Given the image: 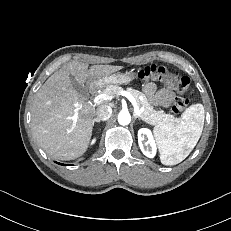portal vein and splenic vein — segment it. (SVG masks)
<instances>
[{"mask_svg": "<svg viewBox=\"0 0 231 231\" xmlns=\"http://www.w3.org/2000/svg\"><path fill=\"white\" fill-rule=\"evenodd\" d=\"M120 95L125 96L126 98L129 99V101L132 103V105L134 107L135 114L140 116L143 109H140L138 107L136 99L130 93H128L127 91H121ZM112 98H113V94H99V95L94 97L93 102L95 104H99V103H101L103 101L110 100ZM78 115H79L78 110H75L73 116L71 117L72 120H73L72 129L75 127V124H76L77 119H78Z\"/></svg>", "mask_w": 231, "mask_h": 231, "instance_id": "18ae733b", "label": "portal vein and splenic vein"}]
</instances>
